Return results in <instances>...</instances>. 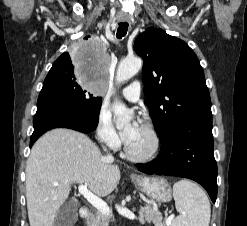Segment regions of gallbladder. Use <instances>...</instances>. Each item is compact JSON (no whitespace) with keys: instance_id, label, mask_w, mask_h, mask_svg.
<instances>
[{"instance_id":"1","label":"gallbladder","mask_w":247,"mask_h":226,"mask_svg":"<svg viewBox=\"0 0 247 226\" xmlns=\"http://www.w3.org/2000/svg\"><path fill=\"white\" fill-rule=\"evenodd\" d=\"M78 208L77 201L64 203L56 213L54 226H74L78 219Z\"/></svg>"}]
</instances>
